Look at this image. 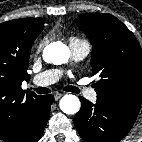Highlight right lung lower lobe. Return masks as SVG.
Listing matches in <instances>:
<instances>
[{"mask_svg": "<svg viewBox=\"0 0 142 142\" xmlns=\"http://www.w3.org/2000/svg\"><path fill=\"white\" fill-rule=\"evenodd\" d=\"M54 97L50 95L42 96L40 106L25 128L24 132L11 142H37L44 131L50 114V106Z\"/></svg>", "mask_w": 142, "mask_h": 142, "instance_id": "98d812e1", "label": "right lung lower lobe"}]
</instances>
